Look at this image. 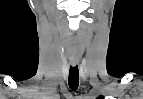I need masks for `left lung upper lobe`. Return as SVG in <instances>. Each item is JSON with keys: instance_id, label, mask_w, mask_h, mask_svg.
Instances as JSON below:
<instances>
[{"instance_id": "left-lung-upper-lobe-1", "label": "left lung upper lobe", "mask_w": 143, "mask_h": 99, "mask_svg": "<svg viewBox=\"0 0 143 99\" xmlns=\"http://www.w3.org/2000/svg\"><path fill=\"white\" fill-rule=\"evenodd\" d=\"M98 99H103V97H102V96H100Z\"/></svg>"}]
</instances>
